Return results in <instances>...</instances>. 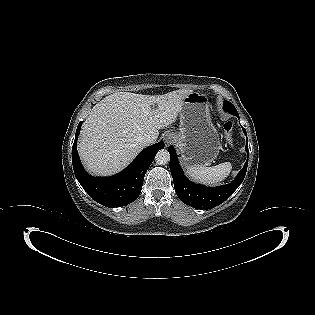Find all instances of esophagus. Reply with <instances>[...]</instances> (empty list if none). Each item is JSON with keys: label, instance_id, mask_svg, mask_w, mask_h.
<instances>
[{"label": "esophagus", "instance_id": "34e87169", "mask_svg": "<svg viewBox=\"0 0 315 315\" xmlns=\"http://www.w3.org/2000/svg\"><path fill=\"white\" fill-rule=\"evenodd\" d=\"M163 140L166 146H169L174 141V137L171 133H165L163 136Z\"/></svg>", "mask_w": 315, "mask_h": 315}]
</instances>
